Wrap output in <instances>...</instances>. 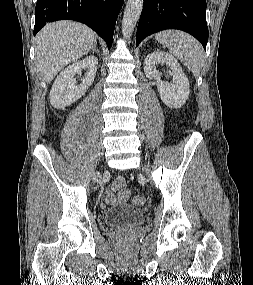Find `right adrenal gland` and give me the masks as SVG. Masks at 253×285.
Masks as SVG:
<instances>
[{"mask_svg":"<svg viewBox=\"0 0 253 285\" xmlns=\"http://www.w3.org/2000/svg\"><path fill=\"white\" fill-rule=\"evenodd\" d=\"M91 52H97L99 54V51H98V49H96V47H93Z\"/></svg>","mask_w":253,"mask_h":285,"instance_id":"right-adrenal-gland-1","label":"right adrenal gland"}]
</instances>
